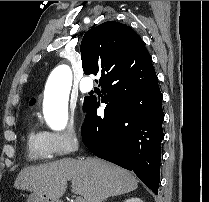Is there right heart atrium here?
I'll return each mask as SVG.
<instances>
[{
	"label": "right heart atrium",
	"instance_id": "1",
	"mask_svg": "<svg viewBox=\"0 0 209 202\" xmlns=\"http://www.w3.org/2000/svg\"><path fill=\"white\" fill-rule=\"evenodd\" d=\"M45 145L55 156H64L72 153L78 147V132L73 123H69L66 128L58 132L42 133ZM73 173H80L83 167L73 161H67Z\"/></svg>",
	"mask_w": 209,
	"mask_h": 202
}]
</instances>
